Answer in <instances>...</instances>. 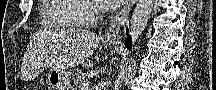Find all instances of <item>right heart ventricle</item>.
I'll use <instances>...</instances> for the list:
<instances>
[{
	"instance_id": "obj_1",
	"label": "right heart ventricle",
	"mask_w": 216,
	"mask_h": 90,
	"mask_svg": "<svg viewBox=\"0 0 216 90\" xmlns=\"http://www.w3.org/2000/svg\"><path fill=\"white\" fill-rule=\"evenodd\" d=\"M77 0H43L41 7L42 28H86L84 19H74V15H82L83 5Z\"/></svg>"
}]
</instances>
